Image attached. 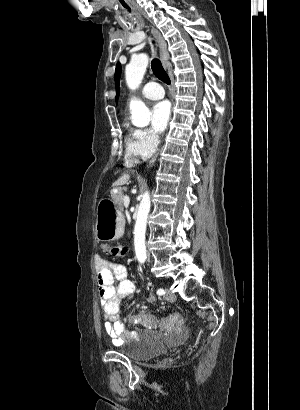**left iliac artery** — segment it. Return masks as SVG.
Segmentation results:
<instances>
[{
  "label": "left iliac artery",
  "instance_id": "1",
  "mask_svg": "<svg viewBox=\"0 0 300 410\" xmlns=\"http://www.w3.org/2000/svg\"><path fill=\"white\" fill-rule=\"evenodd\" d=\"M157 294H158V295H164V294H165L164 289L159 288V289L157 290Z\"/></svg>",
  "mask_w": 300,
  "mask_h": 410
}]
</instances>
